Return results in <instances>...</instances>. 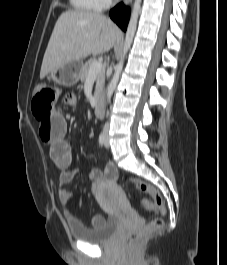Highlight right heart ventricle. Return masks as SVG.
Wrapping results in <instances>:
<instances>
[{"label": "right heart ventricle", "mask_w": 227, "mask_h": 265, "mask_svg": "<svg viewBox=\"0 0 227 265\" xmlns=\"http://www.w3.org/2000/svg\"><path fill=\"white\" fill-rule=\"evenodd\" d=\"M74 10L88 12L99 9L96 0H70Z\"/></svg>", "instance_id": "e07e8e85"}]
</instances>
